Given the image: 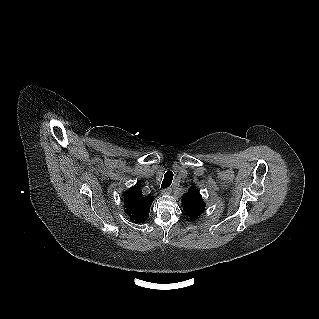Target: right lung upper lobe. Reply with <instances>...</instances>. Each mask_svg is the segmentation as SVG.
Wrapping results in <instances>:
<instances>
[{
  "label": "right lung upper lobe",
  "instance_id": "obj_1",
  "mask_svg": "<svg viewBox=\"0 0 319 319\" xmlns=\"http://www.w3.org/2000/svg\"><path fill=\"white\" fill-rule=\"evenodd\" d=\"M123 196L125 212L130 216V219L136 223L146 221L154 198L152 196L144 197L139 186L131 187Z\"/></svg>",
  "mask_w": 319,
  "mask_h": 319
}]
</instances>
